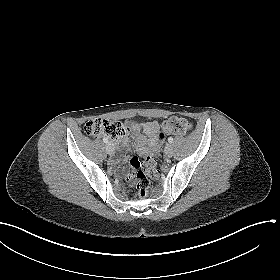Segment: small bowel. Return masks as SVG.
I'll return each mask as SVG.
<instances>
[{"instance_id":"1","label":"small bowel","mask_w":280,"mask_h":280,"mask_svg":"<svg viewBox=\"0 0 280 280\" xmlns=\"http://www.w3.org/2000/svg\"><path fill=\"white\" fill-rule=\"evenodd\" d=\"M132 138L133 145L139 154H156L165 138V133L160 130L158 122H133L127 121L123 125V133L116 138L115 144L123 149L129 139ZM128 157H123L127 162ZM116 162V161H115Z\"/></svg>"}]
</instances>
